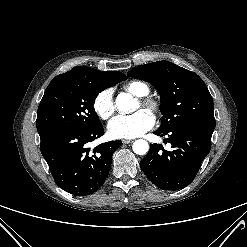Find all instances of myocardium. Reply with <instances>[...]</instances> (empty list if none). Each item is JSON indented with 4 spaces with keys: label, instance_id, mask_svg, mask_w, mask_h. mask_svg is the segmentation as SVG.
<instances>
[{
    "label": "myocardium",
    "instance_id": "myocardium-1",
    "mask_svg": "<svg viewBox=\"0 0 247 247\" xmlns=\"http://www.w3.org/2000/svg\"><path fill=\"white\" fill-rule=\"evenodd\" d=\"M140 104L152 113H158L160 110L159 102L151 97H142Z\"/></svg>",
    "mask_w": 247,
    "mask_h": 247
}]
</instances>
